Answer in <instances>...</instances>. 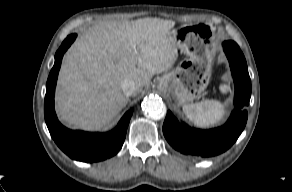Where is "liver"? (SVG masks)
<instances>
[{"label": "liver", "instance_id": "liver-1", "mask_svg": "<svg viewBox=\"0 0 292 192\" xmlns=\"http://www.w3.org/2000/svg\"><path fill=\"white\" fill-rule=\"evenodd\" d=\"M160 18L102 22L75 41L62 63L56 112L74 128L99 130L111 123L128 102L125 80L139 94L154 74L168 71L178 57L171 29Z\"/></svg>", "mask_w": 292, "mask_h": 192}]
</instances>
